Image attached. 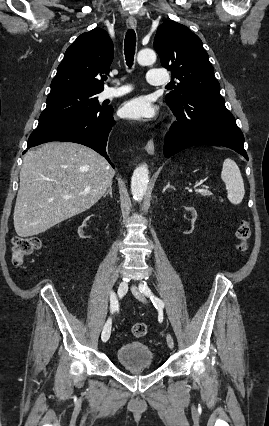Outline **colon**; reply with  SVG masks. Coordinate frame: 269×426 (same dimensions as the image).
Instances as JSON below:
<instances>
[{
  "label": "colon",
  "instance_id": "1",
  "mask_svg": "<svg viewBox=\"0 0 269 426\" xmlns=\"http://www.w3.org/2000/svg\"><path fill=\"white\" fill-rule=\"evenodd\" d=\"M251 235L250 224L247 220H242L236 230V237L239 241L238 250L245 252L247 250L248 240ZM42 245L41 239L37 236L15 237L13 239L12 262L20 265L24 258L32 255ZM132 333L135 337L141 338L147 334V326L144 323H136L132 327Z\"/></svg>",
  "mask_w": 269,
  "mask_h": 426
}]
</instances>
